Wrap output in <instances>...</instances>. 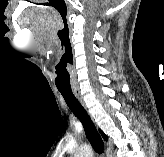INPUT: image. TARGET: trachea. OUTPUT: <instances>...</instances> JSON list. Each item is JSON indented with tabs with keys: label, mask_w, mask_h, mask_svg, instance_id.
<instances>
[{
	"label": "trachea",
	"mask_w": 164,
	"mask_h": 157,
	"mask_svg": "<svg viewBox=\"0 0 164 157\" xmlns=\"http://www.w3.org/2000/svg\"><path fill=\"white\" fill-rule=\"evenodd\" d=\"M59 92L62 94L65 102L67 103L68 107L71 109L73 114L81 121L83 124L86 136L91 143L93 149L96 153L102 154L104 152V144L103 141L97 132L92 120L90 119L89 115L87 114L86 110L83 106L79 103L78 99L73 94L72 90L68 89H58Z\"/></svg>",
	"instance_id": "1"
}]
</instances>
